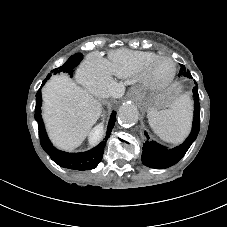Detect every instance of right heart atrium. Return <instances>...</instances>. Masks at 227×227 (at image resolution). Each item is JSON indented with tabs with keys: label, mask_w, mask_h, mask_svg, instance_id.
<instances>
[{
	"label": "right heart atrium",
	"mask_w": 227,
	"mask_h": 227,
	"mask_svg": "<svg viewBox=\"0 0 227 227\" xmlns=\"http://www.w3.org/2000/svg\"><path fill=\"white\" fill-rule=\"evenodd\" d=\"M80 78L83 85L98 95L109 93L113 80L106 61L98 54H90L81 66Z\"/></svg>",
	"instance_id": "1"
}]
</instances>
